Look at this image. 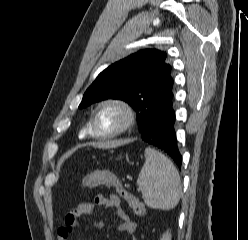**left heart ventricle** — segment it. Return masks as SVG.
<instances>
[{"label":"left heart ventricle","instance_id":"1","mask_svg":"<svg viewBox=\"0 0 248 240\" xmlns=\"http://www.w3.org/2000/svg\"><path fill=\"white\" fill-rule=\"evenodd\" d=\"M124 116L114 107H104L95 118V131L100 134L110 133L122 125Z\"/></svg>","mask_w":248,"mask_h":240}]
</instances>
